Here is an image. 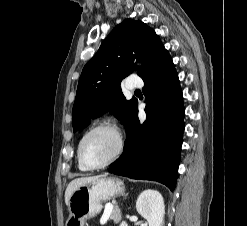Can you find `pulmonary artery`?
Wrapping results in <instances>:
<instances>
[{"label": "pulmonary artery", "mask_w": 247, "mask_h": 226, "mask_svg": "<svg viewBox=\"0 0 247 226\" xmlns=\"http://www.w3.org/2000/svg\"><path fill=\"white\" fill-rule=\"evenodd\" d=\"M143 86V81L139 77L132 76L128 79L126 87L129 90L139 89Z\"/></svg>", "instance_id": "pulmonary-artery-1"}]
</instances>
